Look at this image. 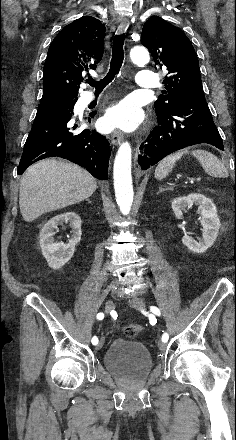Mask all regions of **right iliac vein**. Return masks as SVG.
I'll return each mask as SVG.
<instances>
[{"label": "right iliac vein", "instance_id": "1", "mask_svg": "<svg viewBox=\"0 0 236 440\" xmlns=\"http://www.w3.org/2000/svg\"><path fill=\"white\" fill-rule=\"evenodd\" d=\"M114 307H115L114 302L112 300H108L105 304V311L109 313L114 309ZM103 344H104V338H101L97 345V349H101L103 347Z\"/></svg>", "mask_w": 236, "mask_h": 440}]
</instances>
